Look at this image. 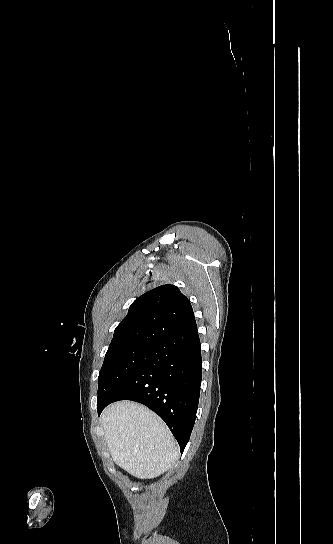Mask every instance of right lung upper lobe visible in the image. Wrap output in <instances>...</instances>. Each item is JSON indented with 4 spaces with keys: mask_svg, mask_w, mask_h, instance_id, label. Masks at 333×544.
Listing matches in <instances>:
<instances>
[{
    "mask_svg": "<svg viewBox=\"0 0 333 544\" xmlns=\"http://www.w3.org/2000/svg\"><path fill=\"white\" fill-rule=\"evenodd\" d=\"M196 327L191 304L170 284L138 297L114 331L108 350L132 345H153Z\"/></svg>",
    "mask_w": 333,
    "mask_h": 544,
    "instance_id": "1",
    "label": "right lung upper lobe"
}]
</instances>
